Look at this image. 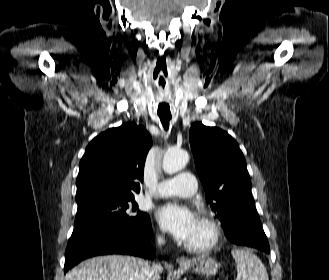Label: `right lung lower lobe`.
<instances>
[{
  "label": "right lung lower lobe",
  "instance_id": "right-lung-lower-lobe-1",
  "mask_svg": "<svg viewBox=\"0 0 329 280\" xmlns=\"http://www.w3.org/2000/svg\"><path fill=\"white\" fill-rule=\"evenodd\" d=\"M150 224L139 233H128L110 226H93L69 239L65 252L64 273L84 259L105 254H128L152 259L155 250L148 243Z\"/></svg>",
  "mask_w": 329,
  "mask_h": 280
}]
</instances>
